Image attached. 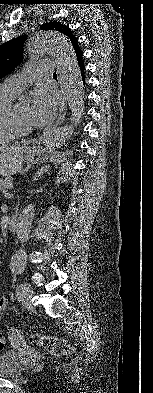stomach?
<instances>
[{"label": "stomach", "instance_id": "obj_1", "mask_svg": "<svg viewBox=\"0 0 153 393\" xmlns=\"http://www.w3.org/2000/svg\"><path fill=\"white\" fill-rule=\"evenodd\" d=\"M24 158L28 165H38L49 160L52 153L36 144L24 147Z\"/></svg>", "mask_w": 153, "mask_h": 393}]
</instances>
